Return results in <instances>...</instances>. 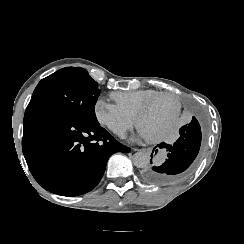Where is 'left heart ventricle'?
I'll return each mask as SVG.
<instances>
[{
  "label": "left heart ventricle",
  "mask_w": 244,
  "mask_h": 244,
  "mask_svg": "<svg viewBox=\"0 0 244 244\" xmlns=\"http://www.w3.org/2000/svg\"><path fill=\"white\" fill-rule=\"evenodd\" d=\"M176 109V102L173 99L165 98L153 105L145 115L142 125L152 130L154 134L161 135L165 130V120L171 116Z\"/></svg>",
  "instance_id": "left-heart-ventricle-1"
}]
</instances>
